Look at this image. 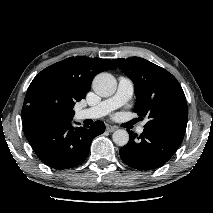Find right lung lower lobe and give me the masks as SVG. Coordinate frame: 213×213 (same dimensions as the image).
Here are the masks:
<instances>
[{
	"mask_svg": "<svg viewBox=\"0 0 213 213\" xmlns=\"http://www.w3.org/2000/svg\"><path fill=\"white\" fill-rule=\"evenodd\" d=\"M24 134L38 158L55 169H68L81 164L88 156L94 137L105 131L96 121L90 127H73L70 122L52 123L23 120Z\"/></svg>",
	"mask_w": 213,
	"mask_h": 213,
	"instance_id": "98d812e1",
	"label": "right lung lower lobe"
}]
</instances>
